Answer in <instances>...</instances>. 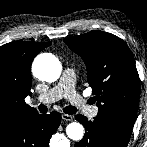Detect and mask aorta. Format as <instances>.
Returning <instances> with one entry per match:
<instances>
[{
	"instance_id": "1",
	"label": "aorta",
	"mask_w": 147,
	"mask_h": 147,
	"mask_svg": "<svg viewBox=\"0 0 147 147\" xmlns=\"http://www.w3.org/2000/svg\"><path fill=\"white\" fill-rule=\"evenodd\" d=\"M62 66L57 57L44 53L37 56L32 65L33 75L41 81L54 82L61 74ZM67 136L74 141L83 138L84 127L78 122H72L66 127Z\"/></svg>"
}]
</instances>
